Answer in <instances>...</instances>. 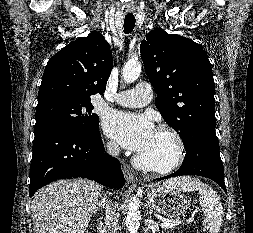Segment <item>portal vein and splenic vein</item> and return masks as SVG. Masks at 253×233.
Segmentation results:
<instances>
[{
    "mask_svg": "<svg viewBox=\"0 0 253 233\" xmlns=\"http://www.w3.org/2000/svg\"><path fill=\"white\" fill-rule=\"evenodd\" d=\"M181 222H182L181 220H175V221H171V222L161 223L160 226L162 228H172V227L179 225Z\"/></svg>",
    "mask_w": 253,
    "mask_h": 233,
    "instance_id": "portal-vein-and-splenic-vein-1",
    "label": "portal vein and splenic vein"
}]
</instances>
